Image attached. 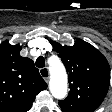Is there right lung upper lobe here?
I'll use <instances>...</instances> for the list:
<instances>
[{"mask_svg": "<svg viewBox=\"0 0 112 112\" xmlns=\"http://www.w3.org/2000/svg\"><path fill=\"white\" fill-rule=\"evenodd\" d=\"M20 45L0 44V112H27L47 88L34 62L20 56Z\"/></svg>", "mask_w": 112, "mask_h": 112, "instance_id": "right-lung-upper-lobe-1", "label": "right lung upper lobe"}]
</instances>
